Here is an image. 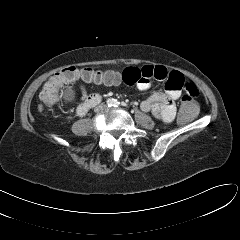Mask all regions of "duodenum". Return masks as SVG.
<instances>
[{"mask_svg": "<svg viewBox=\"0 0 240 240\" xmlns=\"http://www.w3.org/2000/svg\"><path fill=\"white\" fill-rule=\"evenodd\" d=\"M100 101V97L97 95L90 96L86 102L81 104L78 109L77 113L78 115H84L90 108L94 107L97 105Z\"/></svg>", "mask_w": 240, "mask_h": 240, "instance_id": "410a0bca", "label": "duodenum"}]
</instances>
